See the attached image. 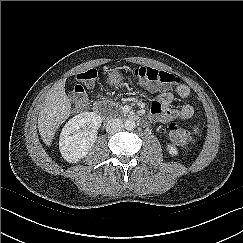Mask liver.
I'll list each match as a JSON object with an SVG mask.
<instances>
[{
  "label": "liver",
  "instance_id": "obj_1",
  "mask_svg": "<svg viewBox=\"0 0 243 243\" xmlns=\"http://www.w3.org/2000/svg\"><path fill=\"white\" fill-rule=\"evenodd\" d=\"M71 113V103L65 93V83L58 82L47 93L38 116V130L46 145H51L56 130Z\"/></svg>",
  "mask_w": 243,
  "mask_h": 243
}]
</instances>
